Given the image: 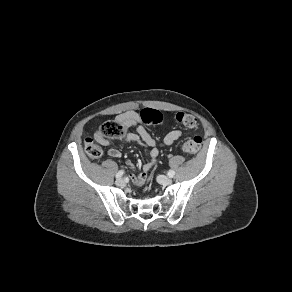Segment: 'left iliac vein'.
<instances>
[{
  "instance_id": "obj_1",
  "label": "left iliac vein",
  "mask_w": 292,
  "mask_h": 292,
  "mask_svg": "<svg viewBox=\"0 0 292 292\" xmlns=\"http://www.w3.org/2000/svg\"><path fill=\"white\" fill-rule=\"evenodd\" d=\"M157 181L162 185H170L172 183V179L164 175H159Z\"/></svg>"
}]
</instances>
